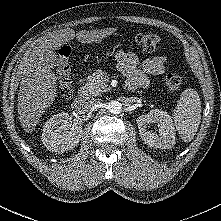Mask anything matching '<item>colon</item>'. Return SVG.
I'll return each mask as SVG.
<instances>
[{"label": "colon", "mask_w": 221, "mask_h": 221, "mask_svg": "<svg viewBox=\"0 0 221 221\" xmlns=\"http://www.w3.org/2000/svg\"><path fill=\"white\" fill-rule=\"evenodd\" d=\"M135 44L146 53L155 52L161 43L160 37L153 33H139L134 36ZM70 55L71 47L62 45L58 51L56 61V73L58 77V96L60 99H69L72 96V82L70 77ZM182 79L175 73L165 76V85L168 89L175 91L181 86Z\"/></svg>", "instance_id": "1"}]
</instances>
